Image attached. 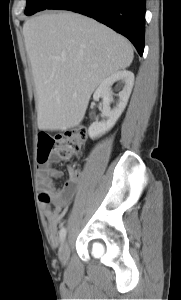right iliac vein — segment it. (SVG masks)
Returning a JSON list of instances; mask_svg holds the SVG:
<instances>
[{"label": "right iliac vein", "instance_id": "right-iliac-vein-1", "mask_svg": "<svg viewBox=\"0 0 181 300\" xmlns=\"http://www.w3.org/2000/svg\"><path fill=\"white\" fill-rule=\"evenodd\" d=\"M70 247L67 240H64L59 249V260L63 265H66L69 260Z\"/></svg>", "mask_w": 181, "mask_h": 300}]
</instances>
